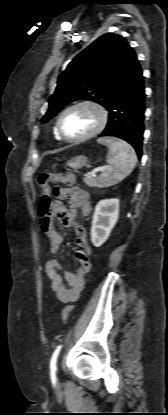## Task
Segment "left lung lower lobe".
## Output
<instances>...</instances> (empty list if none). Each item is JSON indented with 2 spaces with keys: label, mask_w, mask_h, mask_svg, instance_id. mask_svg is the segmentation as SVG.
I'll return each instance as SVG.
<instances>
[{
  "label": "left lung lower lobe",
  "mask_w": 168,
  "mask_h": 415,
  "mask_svg": "<svg viewBox=\"0 0 168 415\" xmlns=\"http://www.w3.org/2000/svg\"><path fill=\"white\" fill-rule=\"evenodd\" d=\"M141 67L133 70L106 108L108 123L100 136H115L131 144L138 158L142 156L145 90Z\"/></svg>",
  "instance_id": "left-lung-lower-lobe-1"
}]
</instances>
